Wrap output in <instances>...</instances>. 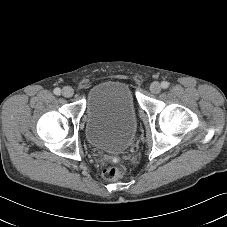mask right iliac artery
Instances as JSON below:
<instances>
[{"mask_svg":"<svg viewBox=\"0 0 227 227\" xmlns=\"http://www.w3.org/2000/svg\"><path fill=\"white\" fill-rule=\"evenodd\" d=\"M60 93H61V89L60 88H55L54 89V94L55 95H60Z\"/></svg>","mask_w":227,"mask_h":227,"instance_id":"1","label":"right iliac artery"}]
</instances>
